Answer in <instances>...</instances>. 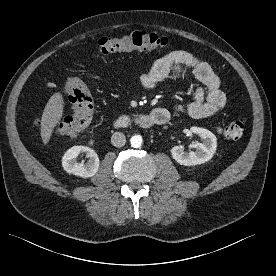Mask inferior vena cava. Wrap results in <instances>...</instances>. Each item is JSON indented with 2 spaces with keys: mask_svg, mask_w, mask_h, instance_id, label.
Here are the masks:
<instances>
[{
  "mask_svg": "<svg viewBox=\"0 0 276 276\" xmlns=\"http://www.w3.org/2000/svg\"><path fill=\"white\" fill-rule=\"evenodd\" d=\"M111 143L115 147H123L126 143V137L121 132H115L111 137Z\"/></svg>",
  "mask_w": 276,
  "mask_h": 276,
  "instance_id": "inferior-vena-cava-1",
  "label": "inferior vena cava"
}]
</instances>
